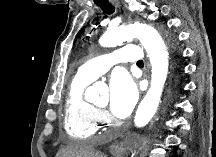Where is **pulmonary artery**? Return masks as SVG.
Listing matches in <instances>:
<instances>
[{"label":"pulmonary artery","instance_id":"e3ab8cb5","mask_svg":"<svg viewBox=\"0 0 216 157\" xmlns=\"http://www.w3.org/2000/svg\"><path fill=\"white\" fill-rule=\"evenodd\" d=\"M143 54L136 45H127L108 54L94 57L82 64L77 75L86 80H94L106 73L113 65L123 62L140 61Z\"/></svg>","mask_w":216,"mask_h":157}]
</instances>
